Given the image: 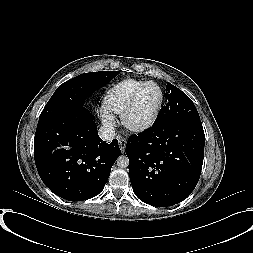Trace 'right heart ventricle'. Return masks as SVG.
I'll return each instance as SVG.
<instances>
[{
    "label": "right heart ventricle",
    "mask_w": 253,
    "mask_h": 253,
    "mask_svg": "<svg viewBox=\"0 0 253 253\" xmlns=\"http://www.w3.org/2000/svg\"><path fill=\"white\" fill-rule=\"evenodd\" d=\"M143 80L126 78L113 84L103 97L104 109L110 113L121 115L135 89Z\"/></svg>",
    "instance_id": "1"
}]
</instances>
